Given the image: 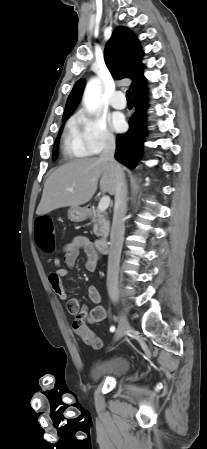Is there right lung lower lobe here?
Returning a JSON list of instances; mask_svg holds the SVG:
<instances>
[{"instance_id": "98d812e1", "label": "right lung lower lobe", "mask_w": 207, "mask_h": 449, "mask_svg": "<svg viewBox=\"0 0 207 449\" xmlns=\"http://www.w3.org/2000/svg\"><path fill=\"white\" fill-rule=\"evenodd\" d=\"M144 88L133 93L136 112L129 120V131L118 135L116 139L115 158L127 167L135 168L143 152V142L146 131V108Z\"/></svg>"}]
</instances>
